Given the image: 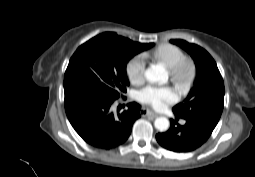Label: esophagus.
I'll list each match as a JSON object with an SVG mask.
<instances>
[{"instance_id": "34e87169", "label": "esophagus", "mask_w": 255, "mask_h": 177, "mask_svg": "<svg viewBox=\"0 0 255 177\" xmlns=\"http://www.w3.org/2000/svg\"><path fill=\"white\" fill-rule=\"evenodd\" d=\"M140 114L142 115V116H151V117H157V116H159V114L158 113H156V112H154V111H152V110H149V109H146V108H142L141 110H140Z\"/></svg>"}]
</instances>
